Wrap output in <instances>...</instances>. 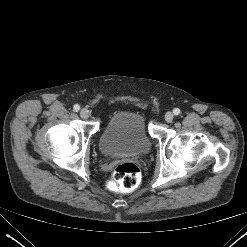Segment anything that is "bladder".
<instances>
[{
	"mask_svg": "<svg viewBox=\"0 0 247 247\" xmlns=\"http://www.w3.org/2000/svg\"><path fill=\"white\" fill-rule=\"evenodd\" d=\"M151 145L145 118L135 111L114 114L99 137V149L108 157L144 155Z\"/></svg>",
	"mask_w": 247,
	"mask_h": 247,
	"instance_id": "obj_1",
	"label": "bladder"
}]
</instances>
